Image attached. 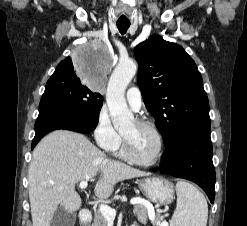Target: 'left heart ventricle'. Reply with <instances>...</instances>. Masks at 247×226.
<instances>
[{
  "label": "left heart ventricle",
  "mask_w": 247,
  "mask_h": 226,
  "mask_svg": "<svg viewBox=\"0 0 247 226\" xmlns=\"http://www.w3.org/2000/svg\"><path fill=\"white\" fill-rule=\"evenodd\" d=\"M122 134L127 138L130 149L138 159L148 161L153 159L158 151V140L155 134L146 127H140L132 122Z\"/></svg>",
  "instance_id": "obj_1"
}]
</instances>
